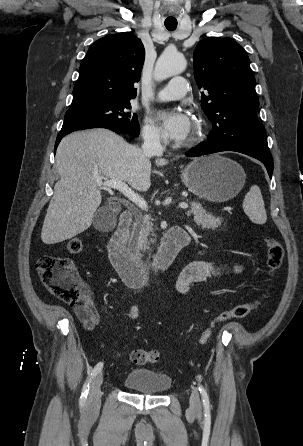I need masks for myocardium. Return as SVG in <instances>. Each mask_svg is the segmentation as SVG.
<instances>
[{
	"mask_svg": "<svg viewBox=\"0 0 303 446\" xmlns=\"http://www.w3.org/2000/svg\"><path fill=\"white\" fill-rule=\"evenodd\" d=\"M203 129L204 126L202 120L199 117H196L193 124V131L183 145L186 147H191L199 143L203 137Z\"/></svg>",
	"mask_w": 303,
	"mask_h": 446,
	"instance_id": "myocardium-1",
	"label": "myocardium"
}]
</instances>
